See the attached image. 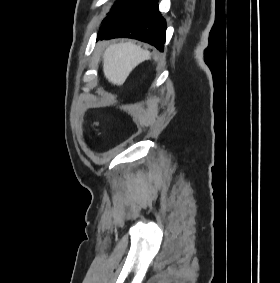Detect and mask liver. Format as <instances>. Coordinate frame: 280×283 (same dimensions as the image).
Wrapping results in <instances>:
<instances>
[{"instance_id":"obj_1","label":"liver","mask_w":280,"mask_h":283,"mask_svg":"<svg viewBox=\"0 0 280 283\" xmlns=\"http://www.w3.org/2000/svg\"><path fill=\"white\" fill-rule=\"evenodd\" d=\"M150 53L131 42L110 45L103 54V72L106 79L114 85H122L130 72Z\"/></svg>"}]
</instances>
